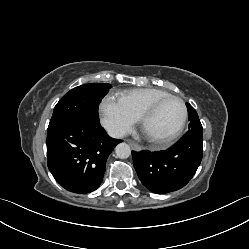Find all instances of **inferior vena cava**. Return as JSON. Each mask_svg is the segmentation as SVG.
<instances>
[{
	"instance_id": "1",
	"label": "inferior vena cava",
	"mask_w": 249,
	"mask_h": 249,
	"mask_svg": "<svg viewBox=\"0 0 249 249\" xmlns=\"http://www.w3.org/2000/svg\"><path fill=\"white\" fill-rule=\"evenodd\" d=\"M107 133L110 137L121 138L126 135V131L118 126H110L107 128Z\"/></svg>"
}]
</instances>
